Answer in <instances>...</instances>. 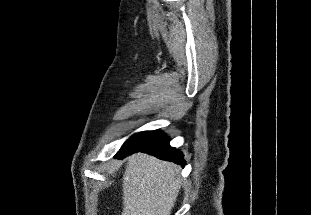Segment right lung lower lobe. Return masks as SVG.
Masks as SVG:
<instances>
[{
  "mask_svg": "<svg viewBox=\"0 0 311 215\" xmlns=\"http://www.w3.org/2000/svg\"><path fill=\"white\" fill-rule=\"evenodd\" d=\"M137 152L154 155L159 159L181 164L183 167L185 164L182 152L171 147L168 137L158 130L134 134L123 144L115 158H124Z\"/></svg>",
  "mask_w": 311,
  "mask_h": 215,
  "instance_id": "98d812e1",
  "label": "right lung lower lobe"
}]
</instances>
